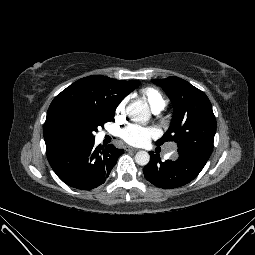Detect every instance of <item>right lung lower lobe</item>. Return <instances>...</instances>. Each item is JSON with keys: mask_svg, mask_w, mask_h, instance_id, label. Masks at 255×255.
Segmentation results:
<instances>
[{"mask_svg": "<svg viewBox=\"0 0 255 255\" xmlns=\"http://www.w3.org/2000/svg\"><path fill=\"white\" fill-rule=\"evenodd\" d=\"M124 152L113 145L94 147L93 141H74L47 151L48 161L67 185L91 190L108 178L118 157Z\"/></svg>", "mask_w": 255, "mask_h": 255, "instance_id": "obj_1", "label": "right lung lower lobe"}]
</instances>
